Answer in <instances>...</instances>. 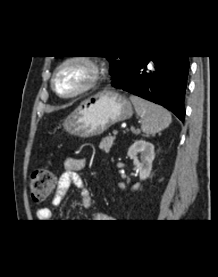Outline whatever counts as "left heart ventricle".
<instances>
[{
	"label": "left heart ventricle",
	"mask_w": 218,
	"mask_h": 277,
	"mask_svg": "<svg viewBox=\"0 0 218 277\" xmlns=\"http://www.w3.org/2000/svg\"><path fill=\"white\" fill-rule=\"evenodd\" d=\"M85 78L86 71L82 67L69 66L58 76L56 86L61 93H71L83 83Z\"/></svg>",
	"instance_id": "1"
}]
</instances>
